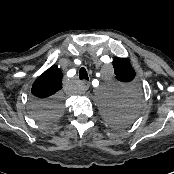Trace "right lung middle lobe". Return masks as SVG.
Listing matches in <instances>:
<instances>
[{
  "label": "right lung middle lobe",
  "instance_id": "right-lung-middle-lobe-1",
  "mask_svg": "<svg viewBox=\"0 0 174 174\" xmlns=\"http://www.w3.org/2000/svg\"><path fill=\"white\" fill-rule=\"evenodd\" d=\"M63 110V100L60 95L48 99H35L32 103V116L39 122L56 120Z\"/></svg>",
  "mask_w": 174,
  "mask_h": 174
}]
</instances>
